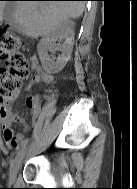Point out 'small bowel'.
<instances>
[{"label":"small bowel","instance_id":"1","mask_svg":"<svg viewBox=\"0 0 137 189\" xmlns=\"http://www.w3.org/2000/svg\"><path fill=\"white\" fill-rule=\"evenodd\" d=\"M34 70L35 75L33 77V82L42 81L46 84L53 83V75L44 71L40 65L36 64L34 66ZM28 107L31 114V124L35 125L41 108L39 97L32 98V103L31 105H28ZM0 118L2 123L3 138L10 148L18 149L27 142L25 132L29 129V125L21 116L11 110L9 101L0 104ZM16 123L22 124V129L15 130L14 124Z\"/></svg>","mask_w":137,"mask_h":189}]
</instances>
